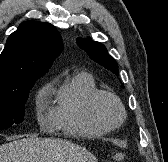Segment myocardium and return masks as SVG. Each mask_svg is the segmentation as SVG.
<instances>
[{
    "label": "myocardium",
    "mask_w": 168,
    "mask_h": 162,
    "mask_svg": "<svg viewBox=\"0 0 168 162\" xmlns=\"http://www.w3.org/2000/svg\"><path fill=\"white\" fill-rule=\"evenodd\" d=\"M103 97L112 99L116 103L119 109V113H120L119 120L115 124L110 125L106 123L98 113V109H97L98 102ZM87 112L90 118L93 120V122H95L97 125H99L100 127H102L107 131L115 130L121 127L126 118L125 107L121 99L115 93L108 90H97L89 97L87 102Z\"/></svg>",
    "instance_id": "obj_1"
}]
</instances>
